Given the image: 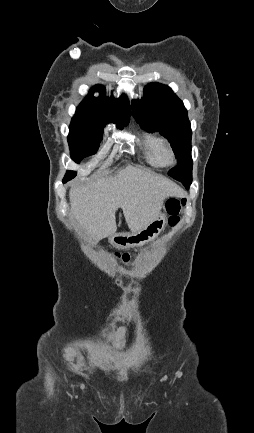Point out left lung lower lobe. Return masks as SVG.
Masks as SVG:
<instances>
[{
  "mask_svg": "<svg viewBox=\"0 0 254 433\" xmlns=\"http://www.w3.org/2000/svg\"><path fill=\"white\" fill-rule=\"evenodd\" d=\"M186 189H189V186H186Z\"/></svg>",
  "mask_w": 254,
  "mask_h": 433,
  "instance_id": "0a47b994",
  "label": "left lung lower lobe"
}]
</instances>
